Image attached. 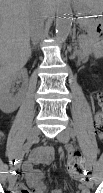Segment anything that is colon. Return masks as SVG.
<instances>
[{"mask_svg":"<svg viewBox=\"0 0 103 193\" xmlns=\"http://www.w3.org/2000/svg\"><path fill=\"white\" fill-rule=\"evenodd\" d=\"M98 105L103 106V93L98 91L95 94ZM95 129L98 137L103 139V119L102 112L99 110L95 117ZM69 171L73 174L83 175L85 174V166L82 157L79 154H74L68 165ZM24 193H28V190L23 188Z\"/></svg>","mask_w":103,"mask_h":193,"instance_id":"colon-1","label":"colon"}]
</instances>
